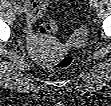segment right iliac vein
Wrapping results in <instances>:
<instances>
[{
    "instance_id": "63e3f726",
    "label": "right iliac vein",
    "mask_w": 111,
    "mask_h": 106,
    "mask_svg": "<svg viewBox=\"0 0 111 106\" xmlns=\"http://www.w3.org/2000/svg\"><path fill=\"white\" fill-rule=\"evenodd\" d=\"M14 10H15L16 14H18V15H21L23 12V9L19 5H15Z\"/></svg>"
}]
</instances>
